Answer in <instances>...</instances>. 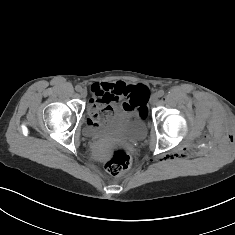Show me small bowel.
Instances as JSON below:
<instances>
[{
	"mask_svg": "<svg viewBox=\"0 0 235 235\" xmlns=\"http://www.w3.org/2000/svg\"><path fill=\"white\" fill-rule=\"evenodd\" d=\"M138 86L139 85H126L124 82L93 83L91 86L92 97L89 105L91 118L104 108L110 109L112 111V115L113 112L118 109L129 111L130 109L126 107L127 98L132 94L133 89ZM124 98L126 100L121 103V100ZM95 123L97 122L92 124Z\"/></svg>",
	"mask_w": 235,
	"mask_h": 235,
	"instance_id": "obj_1",
	"label": "small bowel"
}]
</instances>
